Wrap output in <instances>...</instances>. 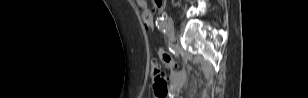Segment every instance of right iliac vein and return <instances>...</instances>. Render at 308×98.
Masks as SVG:
<instances>
[{"label":"right iliac vein","instance_id":"1","mask_svg":"<svg viewBox=\"0 0 308 98\" xmlns=\"http://www.w3.org/2000/svg\"><path fill=\"white\" fill-rule=\"evenodd\" d=\"M167 34L170 38V40H173L174 39V36H175V32H174V27H173V21L172 19L169 17L167 18Z\"/></svg>","mask_w":308,"mask_h":98}]
</instances>
